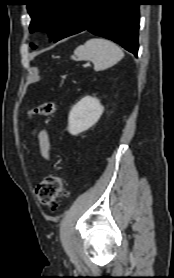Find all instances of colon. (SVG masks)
<instances>
[{"label":"colon","instance_id":"1","mask_svg":"<svg viewBox=\"0 0 174 278\" xmlns=\"http://www.w3.org/2000/svg\"><path fill=\"white\" fill-rule=\"evenodd\" d=\"M56 104L52 101H46L34 107L30 115H41L45 117L53 116L56 112ZM36 195L44 206L55 210L61 198L68 195L64 187L63 179L59 175H49L45 177L36 187Z\"/></svg>","mask_w":174,"mask_h":278}]
</instances>
